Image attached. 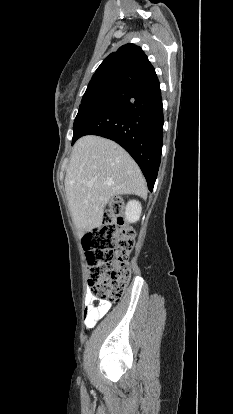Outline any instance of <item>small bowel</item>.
<instances>
[{"label":"small bowel","instance_id":"small-bowel-1","mask_svg":"<svg viewBox=\"0 0 233 414\" xmlns=\"http://www.w3.org/2000/svg\"><path fill=\"white\" fill-rule=\"evenodd\" d=\"M87 293H91L92 289L87 288ZM92 294H87L85 298L84 324L90 329L110 310L111 302L105 299L98 300Z\"/></svg>","mask_w":233,"mask_h":414}]
</instances>
